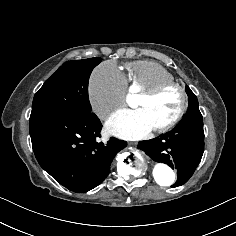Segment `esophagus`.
Listing matches in <instances>:
<instances>
[{"label":"esophagus","mask_w":236,"mask_h":236,"mask_svg":"<svg viewBox=\"0 0 236 236\" xmlns=\"http://www.w3.org/2000/svg\"><path fill=\"white\" fill-rule=\"evenodd\" d=\"M130 145H137V142H130Z\"/></svg>","instance_id":"34e87169"}]
</instances>
